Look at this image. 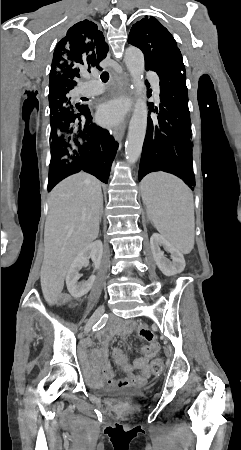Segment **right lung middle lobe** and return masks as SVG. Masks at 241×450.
I'll return each instance as SVG.
<instances>
[{"label":"right lung middle lobe","instance_id":"1","mask_svg":"<svg viewBox=\"0 0 241 450\" xmlns=\"http://www.w3.org/2000/svg\"><path fill=\"white\" fill-rule=\"evenodd\" d=\"M49 106L52 139L51 151H71L74 148V142L67 134L59 129V124L63 121L80 119L85 113L89 112V109L76 103L70 96L49 101Z\"/></svg>","mask_w":241,"mask_h":450}]
</instances>
